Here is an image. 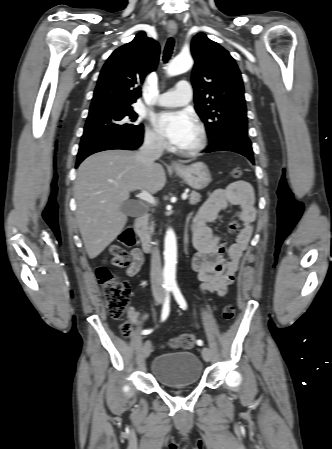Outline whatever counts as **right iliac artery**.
<instances>
[{
    "label": "right iliac artery",
    "mask_w": 332,
    "mask_h": 449,
    "mask_svg": "<svg viewBox=\"0 0 332 449\" xmlns=\"http://www.w3.org/2000/svg\"><path fill=\"white\" fill-rule=\"evenodd\" d=\"M165 291H166V296H165V300H164V303H163V306H162V311H161V320L162 321H164L168 317L169 312H170V291H171V288L167 287L165 289ZM151 332H152V329H146V330L142 331V334L143 335H148Z\"/></svg>",
    "instance_id": "1"
}]
</instances>
